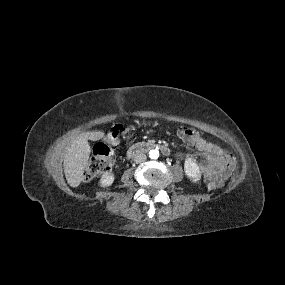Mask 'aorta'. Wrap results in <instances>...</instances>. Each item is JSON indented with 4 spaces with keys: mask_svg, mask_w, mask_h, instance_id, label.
Wrapping results in <instances>:
<instances>
[{
    "mask_svg": "<svg viewBox=\"0 0 285 285\" xmlns=\"http://www.w3.org/2000/svg\"><path fill=\"white\" fill-rule=\"evenodd\" d=\"M159 150L158 149H151L149 151V158L151 159H157L159 157Z\"/></svg>",
    "mask_w": 285,
    "mask_h": 285,
    "instance_id": "aorta-1",
    "label": "aorta"
}]
</instances>
